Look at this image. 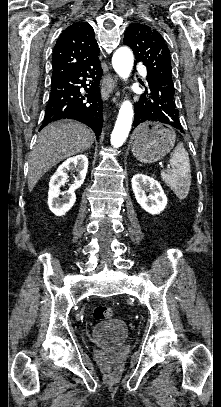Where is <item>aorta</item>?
Listing matches in <instances>:
<instances>
[{"instance_id": "762f6f07", "label": "aorta", "mask_w": 221, "mask_h": 407, "mask_svg": "<svg viewBox=\"0 0 221 407\" xmlns=\"http://www.w3.org/2000/svg\"><path fill=\"white\" fill-rule=\"evenodd\" d=\"M133 54L128 47H121L115 51L112 57V65L116 73L123 79H127L133 67ZM134 112L132 103L124 101L120 107L115 127L111 134V145L118 148L126 141L131 129Z\"/></svg>"}]
</instances>
